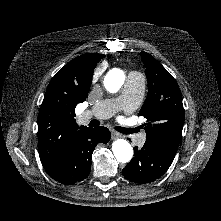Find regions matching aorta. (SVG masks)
<instances>
[{
    "label": "aorta",
    "instance_id": "aorta-1",
    "mask_svg": "<svg viewBox=\"0 0 221 221\" xmlns=\"http://www.w3.org/2000/svg\"><path fill=\"white\" fill-rule=\"evenodd\" d=\"M125 80L124 73L120 70L113 69L109 71L104 78L105 88L111 92H117ZM112 151L118 162L127 163L133 157V148L130 143L124 139H117L112 144Z\"/></svg>",
    "mask_w": 221,
    "mask_h": 221
}]
</instances>
